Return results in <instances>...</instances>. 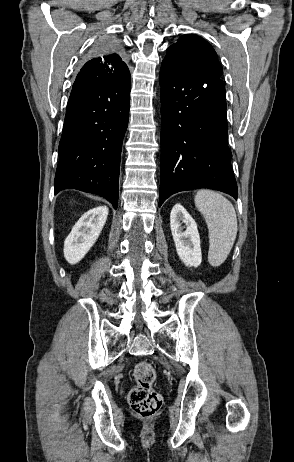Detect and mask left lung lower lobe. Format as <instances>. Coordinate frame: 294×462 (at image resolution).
<instances>
[{"label": "left lung lower lobe", "instance_id": "left-lung-lower-lobe-1", "mask_svg": "<svg viewBox=\"0 0 294 462\" xmlns=\"http://www.w3.org/2000/svg\"><path fill=\"white\" fill-rule=\"evenodd\" d=\"M159 207L172 194L211 188L237 199L228 148L225 87L162 62Z\"/></svg>", "mask_w": 294, "mask_h": 462}]
</instances>
